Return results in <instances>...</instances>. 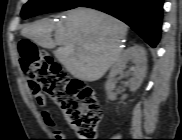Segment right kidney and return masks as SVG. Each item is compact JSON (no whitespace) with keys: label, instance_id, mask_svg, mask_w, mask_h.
Wrapping results in <instances>:
<instances>
[{"label":"right kidney","instance_id":"obj_1","mask_svg":"<svg viewBox=\"0 0 182 140\" xmlns=\"http://www.w3.org/2000/svg\"><path fill=\"white\" fill-rule=\"evenodd\" d=\"M130 61L135 64L133 75L129 81L130 91L134 92L141 86L147 71L146 51L143 47L135 45L130 47L111 68L105 84L108 99H116V94L112 92L116 84L114 79L126 68L127 63ZM126 97L127 95H123L122 99Z\"/></svg>","mask_w":182,"mask_h":140}]
</instances>
